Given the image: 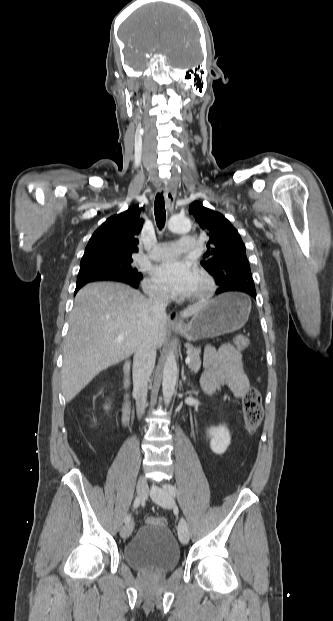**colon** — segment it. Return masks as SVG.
<instances>
[{
    "label": "colon",
    "instance_id": "obj_1",
    "mask_svg": "<svg viewBox=\"0 0 333 621\" xmlns=\"http://www.w3.org/2000/svg\"><path fill=\"white\" fill-rule=\"evenodd\" d=\"M236 346L239 350H243L247 348L248 340L245 337H238ZM243 413L247 428L250 431L255 430L263 417L262 397L255 387L248 388L243 396ZM146 523L165 526L166 520L160 517H148Z\"/></svg>",
    "mask_w": 333,
    "mask_h": 621
}]
</instances>
